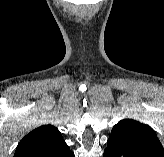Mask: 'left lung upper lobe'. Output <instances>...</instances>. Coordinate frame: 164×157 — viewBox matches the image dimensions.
Listing matches in <instances>:
<instances>
[{
	"label": "left lung upper lobe",
	"mask_w": 164,
	"mask_h": 157,
	"mask_svg": "<svg viewBox=\"0 0 164 157\" xmlns=\"http://www.w3.org/2000/svg\"><path fill=\"white\" fill-rule=\"evenodd\" d=\"M109 139L134 148L148 157H164V148L154 130L133 119L119 121Z\"/></svg>",
	"instance_id": "left-lung-upper-lobe-1"
}]
</instances>
